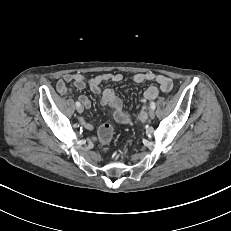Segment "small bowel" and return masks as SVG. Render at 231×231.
I'll list each match as a JSON object with an SVG mask.
<instances>
[{"instance_id":"c3829d8e","label":"small bowel","mask_w":231,"mask_h":231,"mask_svg":"<svg viewBox=\"0 0 231 231\" xmlns=\"http://www.w3.org/2000/svg\"><path fill=\"white\" fill-rule=\"evenodd\" d=\"M123 80V75L120 73H101L94 77H88L81 73L66 74L57 82V90L62 95H69L71 91L67 88V83H72L73 86L78 90H83L87 86L95 94L101 96V103L108 106L112 110L113 118L120 124H130L133 122H141L145 119L144 109L140 112L135 120H132L130 116L123 110L122 101L118 98L115 92L109 88H103L104 83L108 82H120ZM132 80L136 84L144 82H156L161 91L170 92L173 84L172 80L164 75H158L153 72L137 73L132 77ZM159 89L156 86H149L143 94V103H147L150 100L157 98ZM79 100L82 104L89 108L91 102L88 97L81 95ZM84 127L88 130H92L94 126L90 123L82 122ZM96 139V138H94Z\"/></svg>"}]
</instances>
